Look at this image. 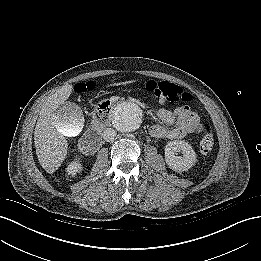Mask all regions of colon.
<instances>
[{
	"mask_svg": "<svg viewBox=\"0 0 261 261\" xmlns=\"http://www.w3.org/2000/svg\"><path fill=\"white\" fill-rule=\"evenodd\" d=\"M143 87L151 94L159 103L164 102H184L192 101V95L185 91L181 86L167 81L147 80L143 83ZM92 83H85L78 86V92H88L93 90ZM110 111V103L102 102L98 104L94 110L96 118L105 119ZM205 134L200 141V150L203 153H208L214 146V136L212 125L205 121L203 124Z\"/></svg>",
	"mask_w": 261,
	"mask_h": 261,
	"instance_id": "colon-1",
	"label": "colon"
}]
</instances>
